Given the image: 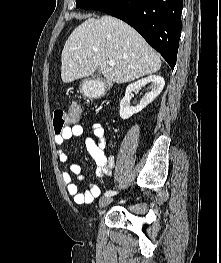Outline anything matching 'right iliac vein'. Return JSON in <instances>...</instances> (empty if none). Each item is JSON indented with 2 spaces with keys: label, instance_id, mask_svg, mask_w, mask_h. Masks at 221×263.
I'll return each mask as SVG.
<instances>
[{
  "label": "right iliac vein",
  "instance_id": "63e3f726",
  "mask_svg": "<svg viewBox=\"0 0 221 263\" xmlns=\"http://www.w3.org/2000/svg\"><path fill=\"white\" fill-rule=\"evenodd\" d=\"M113 201L112 197L106 196V197H102L99 201V207L100 208H104L107 205H109L111 202Z\"/></svg>",
  "mask_w": 221,
  "mask_h": 263
}]
</instances>
